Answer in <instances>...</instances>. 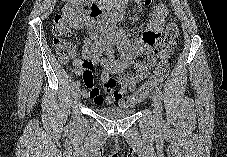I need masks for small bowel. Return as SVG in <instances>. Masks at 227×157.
Returning a JSON list of instances; mask_svg holds the SVG:
<instances>
[{"label":"small bowel","instance_id":"obj_1","mask_svg":"<svg viewBox=\"0 0 227 157\" xmlns=\"http://www.w3.org/2000/svg\"><path fill=\"white\" fill-rule=\"evenodd\" d=\"M149 4L151 0H143ZM169 14L165 4H156L151 10V17L140 35L131 40L130 35L121 30L115 34L93 33L85 40L82 56L83 60H75V73L83 76L84 97L90 99L94 104H112L119 102L124 95V89H118L116 75L124 73L129 68L133 72L122 80L125 88L132 89L145 76L144 63L139 59L145 55L149 48L163 30L165 20ZM99 66L102 69L101 82L105 95L95 87L91 69Z\"/></svg>","mask_w":227,"mask_h":157}]
</instances>
